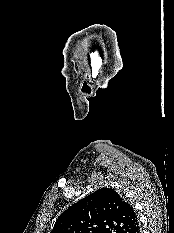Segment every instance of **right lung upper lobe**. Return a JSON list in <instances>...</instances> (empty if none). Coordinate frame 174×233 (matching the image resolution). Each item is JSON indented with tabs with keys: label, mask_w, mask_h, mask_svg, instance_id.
I'll return each instance as SVG.
<instances>
[{
	"label": "right lung upper lobe",
	"mask_w": 174,
	"mask_h": 233,
	"mask_svg": "<svg viewBox=\"0 0 174 233\" xmlns=\"http://www.w3.org/2000/svg\"><path fill=\"white\" fill-rule=\"evenodd\" d=\"M133 207L112 188L103 187L73 204L51 233H138Z\"/></svg>",
	"instance_id": "obj_1"
}]
</instances>
